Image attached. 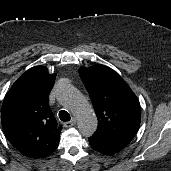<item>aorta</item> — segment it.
<instances>
[{
	"instance_id": "1",
	"label": "aorta",
	"mask_w": 171,
	"mask_h": 171,
	"mask_svg": "<svg viewBox=\"0 0 171 171\" xmlns=\"http://www.w3.org/2000/svg\"><path fill=\"white\" fill-rule=\"evenodd\" d=\"M57 97L59 102L76 116L80 133L84 136H92L97 130L98 120L90 103L69 84L59 88Z\"/></svg>"
}]
</instances>
